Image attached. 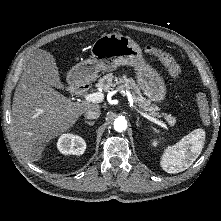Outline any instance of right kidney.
<instances>
[{
    "instance_id": "obj_1",
    "label": "right kidney",
    "mask_w": 221,
    "mask_h": 221,
    "mask_svg": "<svg viewBox=\"0 0 221 221\" xmlns=\"http://www.w3.org/2000/svg\"><path fill=\"white\" fill-rule=\"evenodd\" d=\"M62 154L82 155L86 149V142L78 135L63 134L57 143Z\"/></svg>"
}]
</instances>
